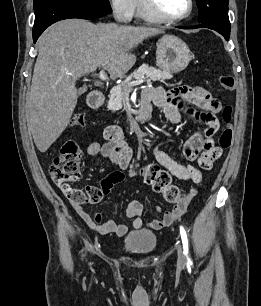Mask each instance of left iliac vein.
I'll list each match as a JSON object with an SVG mask.
<instances>
[{
    "mask_svg": "<svg viewBox=\"0 0 261 306\" xmlns=\"http://www.w3.org/2000/svg\"><path fill=\"white\" fill-rule=\"evenodd\" d=\"M177 253H178V264L181 266H184L186 264V259L183 254V249L181 245H178L177 247Z\"/></svg>",
    "mask_w": 261,
    "mask_h": 306,
    "instance_id": "4c4485c4",
    "label": "left iliac vein"
}]
</instances>
